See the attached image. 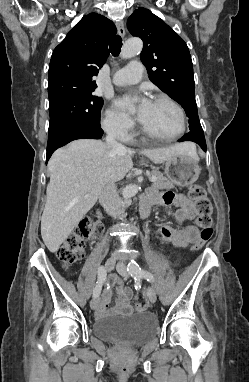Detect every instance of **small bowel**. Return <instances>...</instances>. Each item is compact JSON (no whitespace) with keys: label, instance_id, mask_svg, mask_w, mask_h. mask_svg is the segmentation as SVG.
Listing matches in <instances>:
<instances>
[{"label":"small bowel","instance_id":"small-bowel-1","mask_svg":"<svg viewBox=\"0 0 249 382\" xmlns=\"http://www.w3.org/2000/svg\"><path fill=\"white\" fill-rule=\"evenodd\" d=\"M148 201L151 204L176 207L174 217L178 223L193 221L196 218V209L193 202L182 194H175L168 191L159 195L156 192H150ZM159 231L165 240L180 247L192 243L199 235V230L195 225H188L180 229H174L168 224H162ZM107 284L108 286L116 287L118 299L116 305L113 308H109L110 290L106 289L96 307L97 315L99 317H104L109 314L130 313V298L133 295L132 290L126 288L122 279L117 275H111Z\"/></svg>","mask_w":249,"mask_h":382}]
</instances>
